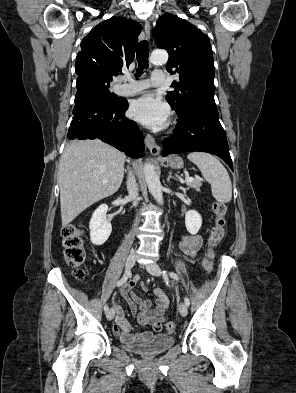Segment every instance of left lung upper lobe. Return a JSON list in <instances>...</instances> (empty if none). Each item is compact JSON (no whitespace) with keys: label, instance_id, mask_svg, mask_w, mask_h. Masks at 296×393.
I'll use <instances>...</instances> for the list:
<instances>
[{"label":"left lung upper lobe","instance_id":"1","mask_svg":"<svg viewBox=\"0 0 296 393\" xmlns=\"http://www.w3.org/2000/svg\"><path fill=\"white\" fill-rule=\"evenodd\" d=\"M153 35L157 47L169 53L167 70L179 74V81L171 84L175 91L166 96L179 119L197 106L216 107L213 53L208 36L172 14L158 20Z\"/></svg>","mask_w":296,"mask_h":393}]
</instances>
